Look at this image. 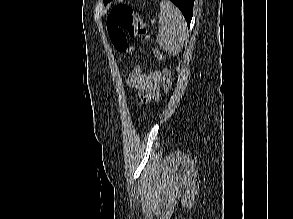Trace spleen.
Here are the masks:
<instances>
[{"mask_svg":"<svg viewBox=\"0 0 293 219\" xmlns=\"http://www.w3.org/2000/svg\"><path fill=\"white\" fill-rule=\"evenodd\" d=\"M159 46L170 55L178 54L186 38L187 24L180 12L171 2L161 0L159 13Z\"/></svg>","mask_w":293,"mask_h":219,"instance_id":"3e777b00","label":"spleen"}]
</instances>
